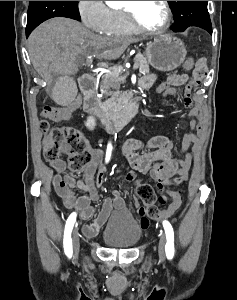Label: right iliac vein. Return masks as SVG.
Wrapping results in <instances>:
<instances>
[{
  "label": "right iliac vein",
  "instance_id": "63e3f726",
  "mask_svg": "<svg viewBox=\"0 0 237 300\" xmlns=\"http://www.w3.org/2000/svg\"><path fill=\"white\" fill-rule=\"evenodd\" d=\"M73 245H74V252L78 253L79 247H80V242H79V234L77 231H75L74 235H73Z\"/></svg>",
  "mask_w": 237,
  "mask_h": 300
}]
</instances>
